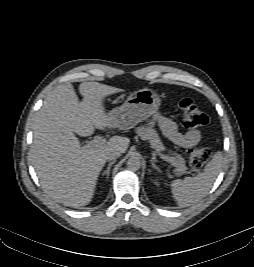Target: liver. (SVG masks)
Here are the masks:
<instances>
[{"label":"liver","instance_id":"6515ba94","mask_svg":"<svg viewBox=\"0 0 254 267\" xmlns=\"http://www.w3.org/2000/svg\"><path fill=\"white\" fill-rule=\"evenodd\" d=\"M123 89L98 82H83L79 92L61 84L45 98L33 124L30 160L44 191L56 202L78 208L93 198L99 174L113 150L125 153L130 140L113 136L101 146H81L75 136H90L95 129L120 128L104 107V99Z\"/></svg>","mask_w":254,"mask_h":267}]
</instances>
